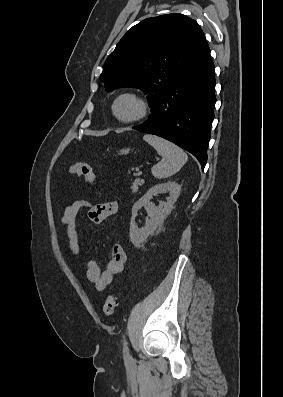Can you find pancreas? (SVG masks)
Returning <instances> with one entry per match:
<instances>
[{
	"label": "pancreas",
	"instance_id": "cf45deb5",
	"mask_svg": "<svg viewBox=\"0 0 283 397\" xmlns=\"http://www.w3.org/2000/svg\"><path fill=\"white\" fill-rule=\"evenodd\" d=\"M141 185H142V180H140V179H135V180L132 182V185H131V187H130L132 193H137L138 190H139V186H141Z\"/></svg>",
	"mask_w": 283,
	"mask_h": 397
}]
</instances>
